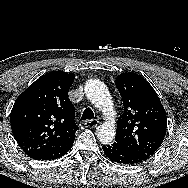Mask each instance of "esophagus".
<instances>
[{"label": "esophagus", "instance_id": "obj_1", "mask_svg": "<svg viewBox=\"0 0 188 188\" xmlns=\"http://www.w3.org/2000/svg\"><path fill=\"white\" fill-rule=\"evenodd\" d=\"M99 121L97 119H92V120H86L84 122V125L88 128H94L96 126H98Z\"/></svg>", "mask_w": 188, "mask_h": 188}]
</instances>
